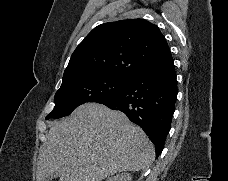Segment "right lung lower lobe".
<instances>
[{"mask_svg": "<svg viewBox=\"0 0 228 181\" xmlns=\"http://www.w3.org/2000/svg\"><path fill=\"white\" fill-rule=\"evenodd\" d=\"M177 93L176 72L170 55L138 71L117 97L101 104L124 112L139 125L153 142L157 158L170 130Z\"/></svg>", "mask_w": 228, "mask_h": 181, "instance_id": "right-lung-lower-lobe-1", "label": "right lung lower lobe"}]
</instances>
